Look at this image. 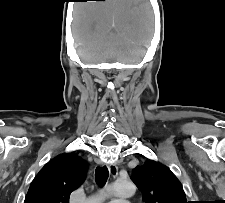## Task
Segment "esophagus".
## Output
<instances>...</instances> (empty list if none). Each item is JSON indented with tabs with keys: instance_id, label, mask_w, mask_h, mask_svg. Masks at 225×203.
Returning <instances> with one entry per match:
<instances>
[{
	"instance_id": "obj_1",
	"label": "esophagus",
	"mask_w": 225,
	"mask_h": 203,
	"mask_svg": "<svg viewBox=\"0 0 225 203\" xmlns=\"http://www.w3.org/2000/svg\"><path fill=\"white\" fill-rule=\"evenodd\" d=\"M108 169H109L110 174L113 177H116L117 176V174H118V168H117L116 164H109L108 165Z\"/></svg>"
}]
</instances>
